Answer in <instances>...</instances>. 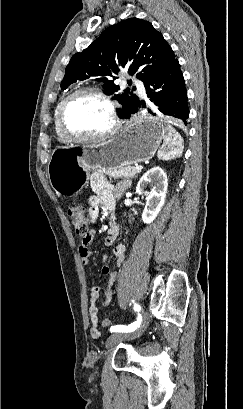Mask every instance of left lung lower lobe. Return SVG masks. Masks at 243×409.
I'll use <instances>...</instances> for the list:
<instances>
[{
	"mask_svg": "<svg viewBox=\"0 0 243 409\" xmlns=\"http://www.w3.org/2000/svg\"><path fill=\"white\" fill-rule=\"evenodd\" d=\"M145 88L149 104L138 100L122 118H130L132 114L146 109L153 116L168 115L180 119L187 125L189 108L187 92L180 65L175 59L169 66L146 81Z\"/></svg>",
	"mask_w": 243,
	"mask_h": 409,
	"instance_id": "0a47b994",
	"label": "left lung lower lobe"
}]
</instances>
